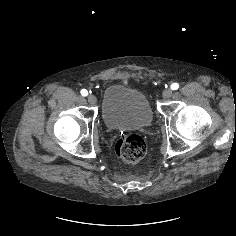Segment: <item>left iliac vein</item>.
<instances>
[{"instance_id": "left-iliac-vein-1", "label": "left iliac vein", "mask_w": 236, "mask_h": 236, "mask_svg": "<svg viewBox=\"0 0 236 236\" xmlns=\"http://www.w3.org/2000/svg\"><path fill=\"white\" fill-rule=\"evenodd\" d=\"M172 93H173L172 89L167 88L164 90L162 96H163V98H169L172 96Z\"/></svg>"}]
</instances>
